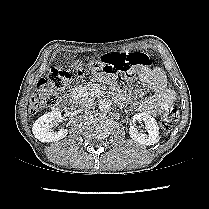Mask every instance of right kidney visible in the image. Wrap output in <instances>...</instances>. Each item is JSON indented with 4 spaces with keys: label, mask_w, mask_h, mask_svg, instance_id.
Masks as SVG:
<instances>
[{
    "label": "right kidney",
    "mask_w": 209,
    "mask_h": 209,
    "mask_svg": "<svg viewBox=\"0 0 209 209\" xmlns=\"http://www.w3.org/2000/svg\"><path fill=\"white\" fill-rule=\"evenodd\" d=\"M61 118L60 111H51L38 118L32 127V132L36 139L41 142H54L63 139L68 134L67 129L53 131V122Z\"/></svg>",
    "instance_id": "ca27d5eb"
}]
</instances>
